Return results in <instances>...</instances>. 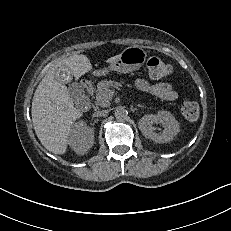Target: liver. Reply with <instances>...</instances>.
I'll return each mask as SVG.
<instances>
[{"label": "liver", "instance_id": "6515ba94", "mask_svg": "<svg viewBox=\"0 0 231 231\" xmlns=\"http://www.w3.org/2000/svg\"><path fill=\"white\" fill-rule=\"evenodd\" d=\"M119 55L107 59L106 63H113ZM63 68L78 79L91 71L92 65L83 54L65 58L47 72L34 93L31 110L34 130L41 144L54 154L66 152L73 123L82 116L74 107L67 87L55 77Z\"/></svg>", "mask_w": 231, "mask_h": 231}]
</instances>
